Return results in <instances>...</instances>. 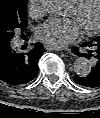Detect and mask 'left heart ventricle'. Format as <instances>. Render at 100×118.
I'll use <instances>...</instances> for the list:
<instances>
[{"instance_id":"b2bd125f","label":"left heart ventricle","mask_w":100,"mask_h":118,"mask_svg":"<svg viewBox=\"0 0 100 118\" xmlns=\"http://www.w3.org/2000/svg\"><path fill=\"white\" fill-rule=\"evenodd\" d=\"M70 17H74L83 30L93 26L98 19L97 0H88L80 12L71 7Z\"/></svg>"}]
</instances>
